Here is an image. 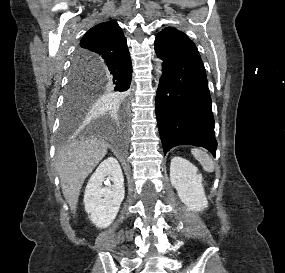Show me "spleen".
I'll return each mask as SVG.
<instances>
[{"label":"spleen","instance_id":"obj_1","mask_svg":"<svg viewBox=\"0 0 285 273\" xmlns=\"http://www.w3.org/2000/svg\"><path fill=\"white\" fill-rule=\"evenodd\" d=\"M191 153L193 156L200 162L203 169L207 172H213L214 171V163L212 158L204 151L200 149H192Z\"/></svg>","mask_w":285,"mask_h":273}]
</instances>
